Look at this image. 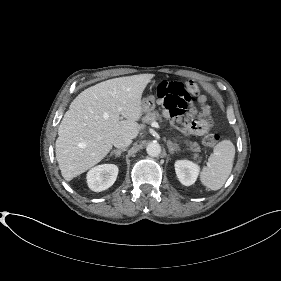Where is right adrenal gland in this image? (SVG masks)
Segmentation results:
<instances>
[{
  "label": "right adrenal gland",
  "mask_w": 281,
  "mask_h": 281,
  "mask_svg": "<svg viewBox=\"0 0 281 281\" xmlns=\"http://www.w3.org/2000/svg\"><path fill=\"white\" fill-rule=\"evenodd\" d=\"M125 150H126V148H123V149H115V150H113V151L110 153L109 157H111V156H113V155H115L116 157H120L121 153L124 152Z\"/></svg>",
  "instance_id": "2a0ac1e0"
}]
</instances>
